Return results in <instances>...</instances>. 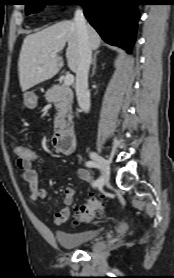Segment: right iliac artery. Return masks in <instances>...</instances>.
Segmentation results:
<instances>
[{"label": "right iliac artery", "instance_id": "obj_1", "mask_svg": "<svg viewBox=\"0 0 174 278\" xmlns=\"http://www.w3.org/2000/svg\"><path fill=\"white\" fill-rule=\"evenodd\" d=\"M85 165L89 168H99V165L96 162L93 161H87ZM104 184V179L103 177H99L94 183V187H101Z\"/></svg>", "mask_w": 174, "mask_h": 278}]
</instances>
